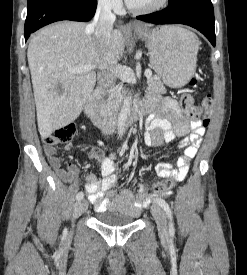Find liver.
<instances>
[{
    "mask_svg": "<svg viewBox=\"0 0 247 275\" xmlns=\"http://www.w3.org/2000/svg\"><path fill=\"white\" fill-rule=\"evenodd\" d=\"M87 26L74 21L55 23L39 31L29 43L27 58L42 138L80 115L96 84L94 69H115L108 53L114 52L116 63L124 54L121 30H113L110 45H105ZM81 65L95 68L80 73L70 71Z\"/></svg>",
    "mask_w": 247,
    "mask_h": 275,
    "instance_id": "obj_1",
    "label": "liver"
}]
</instances>
